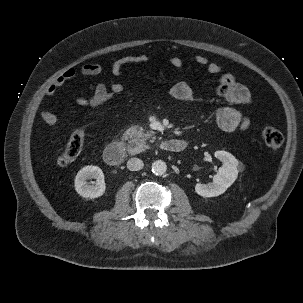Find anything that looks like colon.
<instances>
[{
	"mask_svg": "<svg viewBox=\"0 0 303 303\" xmlns=\"http://www.w3.org/2000/svg\"><path fill=\"white\" fill-rule=\"evenodd\" d=\"M112 96L110 93L103 94L100 98L93 99L88 106L97 108L104 105ZM261 138L266 146L272 151H278L283 144L282 133L271 126H266L261 130ZM86 136L84 127H78L70 136L65 149L58 155L57 163L60 166H66L73 162L81 153Z\"/></svg>",
	"mask_w": 303,
	"mask_h": 303,
	"instance_id": "obj_1",
	"label": "colon"
}]
</instances>
